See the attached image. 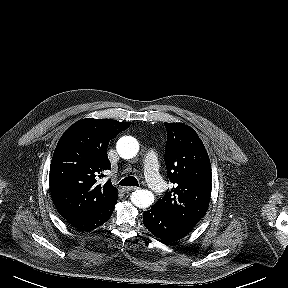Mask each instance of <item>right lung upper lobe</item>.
Wrapping results in <instances>:
<instances>
[{"mask_svg":"<svg viewBox=\"0 0 288 288\" xmlns=\"http://www.w3.org/2000/svg\"><path fill=\"white\" fill-rule=\"evenodd\" d=\"M131 123L112 119H83L60 138L50 165V191L54 205L66 219L97 212L117 198L111 181L97 185V178L111 169L109 141Z\"/></svg>","mask_w":288,"mask_h":288,"instance_id":"cb5924a9","label":"right lung upper lobe"}]
</instances>
